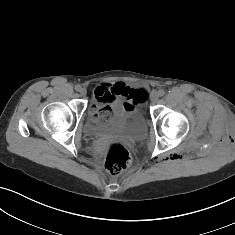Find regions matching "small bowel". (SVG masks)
<instances>
[{
  "label": "small bowel",
  "mask_w": 235,
  "mask_h": 235,
  "mask_svg": "<svg viewBox=\"0 0 235 235\" xmlns=\"http://www.w3.org/2000/svg\"><path fill=\"white\" fill-rule=\"evenodd\" d=\"M139 89L143 88H134L122 82L97 84L93 89L92 110L97 114L100 109L105 107L111 111L116 107L127 108V105H130L131 96Z\"/></svg>",
  "instance_id": "small-bowel-1"
}]
</instances>
